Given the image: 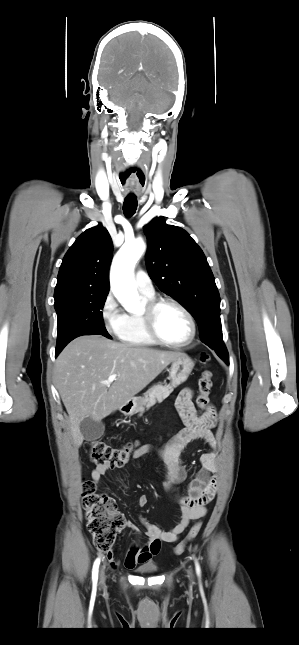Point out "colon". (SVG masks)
I'll use <instances>...</instances> for the list:
<instances>
[{
  "label": "colon",
  "mask_w": 299,
  "mask_h": 645,
  "mask_svg": "<svg viewBox=\"0 0 299 645\" xmlns=\"http://www.w3.org/2000/svg\"><path fill=\"white\" fill-rule=\"evenodd\" d=\"M210 360L209 354L202 353L200 355L202 365H207ZM198 385L200 394L197 398V405L200 409H204L209 402V394L212 388V374L209 370L203 371ZM132 448V444L114 448L96 440L91 443L90 458L96 464H105L111 468H118L128 461ZM82 498L93 543L98 551L109 553L114 546L117 535L125 528L126 519L118 510L116 501L106 494L99 493L95 484L90 480H86L83 483ZM200 529L201 522L195 523L186 538L175 546L174 553L177 555L182 554L188 544L197 537Z\"/></svg>",
  "instance_id": "5ec220e1"
}]
</instances>
